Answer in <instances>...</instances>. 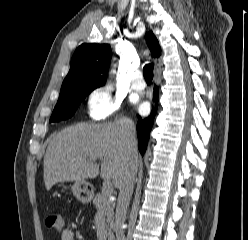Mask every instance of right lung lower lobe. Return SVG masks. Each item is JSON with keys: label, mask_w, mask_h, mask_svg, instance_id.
Returning <instances> with one entry per match:
<instances>
[{"label": "right lung lower lobe", "mask_w": 248, "mask_h": 240, "mask_svg": "<svg viewBox=\"0 0 248 240\" xmlns=\"http://www.w3.org/2000/svg\"><path fill=\"white\" fill-rule=\"evenodd\" d=\"M158 90L157 86H154L153 100L156 103V108H152L150 115L147 118H141L138 115V123H137V133H138V142H139V151L143 155L146 151L147 144L150 137V132L152 130V125L154 122V118L157 112L158 105Z\"/></svg>", "instance_id": "obj_1"}]
</instances>
